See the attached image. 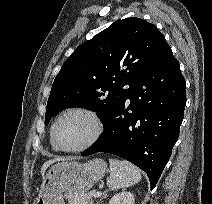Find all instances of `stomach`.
<instances>
[{"instance_id": "stomach-1", "label": "stomach", "mask_w": 212, "mask_h": 204, "mask_svg": "<svg viewBox=\"0 0 212 204\" xmlns=\"http://www.w3.org/2000/svg\"><path fill=\"white\" fill-rule=\"evenodd\" d=\"M106 171L107 165L101 159L84 164L77 161L58 162L44 177L35 204H64L63 192L84 194L104 177Z\"/></svg>"}]
</instances>
